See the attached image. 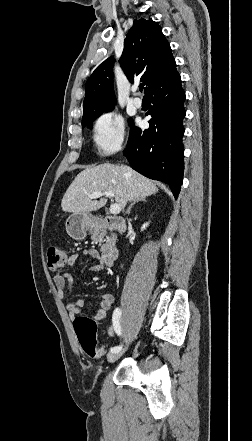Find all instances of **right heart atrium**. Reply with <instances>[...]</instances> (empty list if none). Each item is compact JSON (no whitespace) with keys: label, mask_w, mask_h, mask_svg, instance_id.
Wrapping results in <instances>:
<instances>
[{"label":"right heart atrium","mask_w":252,"mask_h":441,"mask_svg":"<svg viewBox=\"0 0 252 441\" xmlns=\"http://www.w3.org/2000/svg\"><path fill=\"white\" fill-rule=\"evenodd\" d=\"M125 141V122L114 112L101 115L94 123L93 143L102 157L118 152Z\"/></svg>","instance_id":"d8ad5b80"}]
</instances>
